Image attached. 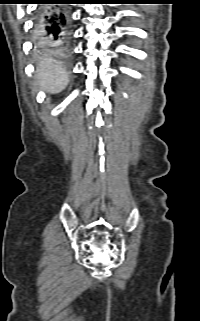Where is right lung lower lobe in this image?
<instances>
[{
	"instance_id": "obj_1",
	"label": "right lung lower lobe",
	"mask_w": 200,
	"mask_h": 321,
	"mask_svg": "<svg viewBox=\"0 0 200 321\" xmlns=\"http://www.w3.org/2000/svg\"><path fill=\"white\" fill-rule=\"evenodd\" d=\"M42 3L38 9V26L52 42L66 46L69 41V24L66 9L61 4L69 0H38Z\"/></svg>"
}]
</instances>
